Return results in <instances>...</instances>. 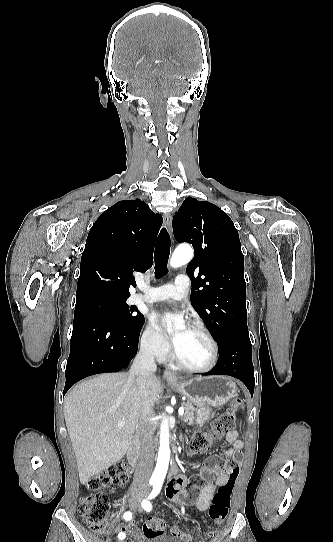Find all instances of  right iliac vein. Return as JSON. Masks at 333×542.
<instances>
[{
    "instance_id": "right-iliac-vein-1",
    "label": "right iliac vein",
    "mask_w": 333,
    "mask_h": 542,
    "mask_svg": "<svg viewBox=\"0 0 333 542\" xmlns=\"http://www.w3.org/2000/svg\"><path fill=\"white\" fill-rule=\"evenodd\" d=\"M143 497H144V495H143ZM139 498L141 499V496H140ZM137 505H138V504H137V501H132V502L130 503V507H131L132 509H134Z\"/></svg>"
}]
</instances>
